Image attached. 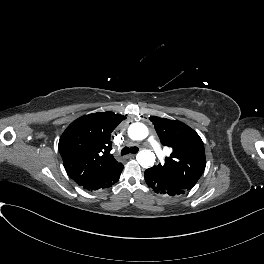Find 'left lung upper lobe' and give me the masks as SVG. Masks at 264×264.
<instances>
[{
    "mask_svg": "<svg viewBox=\"0 0 264 264\" xmlns=\"http://www.w3.org/2000/svg\"><path fill=\"white\" fill-rule=\"evenodd\" d=\"M158 134L169 154L164 165L147 171L183 193L190 191L206 168L204 142L194 129L178 120H158Z\"/></svg>",
    "mask_w": 264,
    "mask_h": 264,
    "instance_id": "obj_1",
    "label": "left lung upper lobe"
}]
</instances>
